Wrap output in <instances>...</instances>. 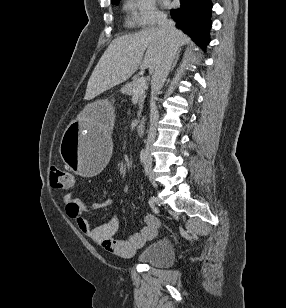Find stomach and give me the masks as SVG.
<instances>
[{"mask_svg": "<svg viewBox=\"0 0 286 308\" xmlns=\"http://www.w3.org/2000/svg\"><path fill=\"white\" fill-rule=\"evenodd\" d=\"M89 109L65 122L62 142L57 149L63 164L78 174H101L103 164L111 159L109 137L117 133L118 115L113 97H96V103H89Z\"/></svg>", "mask_w": 286, "mask_h": 308, "instance_id": "obj_1", "label": "stomach"}]
</instances>
